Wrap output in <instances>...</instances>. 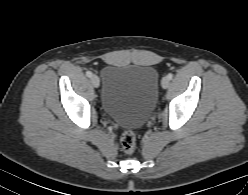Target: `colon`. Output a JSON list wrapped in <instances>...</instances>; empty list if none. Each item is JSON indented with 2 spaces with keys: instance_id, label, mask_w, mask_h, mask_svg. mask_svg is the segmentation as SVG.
<instances>
[{
  "instance_id": "1",
  "label": "colon",
  "mask_w": 248,
  "mask_h": 195,
  "mask_svg": "<svg viewBox=\"0 0 248 195\" xmlns=\"http://www.w3.org/2000/svg\"><path fill=\"white\" fill-rule=\"evenodd\" d=\"M121 148L126 154H133L136 148V135L133 131H125L121 136Z\"/></svg>"
}]
</instances>
